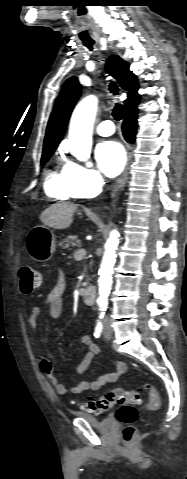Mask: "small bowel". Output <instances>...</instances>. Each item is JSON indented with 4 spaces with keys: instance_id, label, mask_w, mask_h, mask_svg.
<instances>
[{
    "instance_id": "obj_1",
    "label": "small bowel",
    "mask_w": 187,
    "mask_h": 479,
    "mask_svg": "<svg viewBox=\"0 0 187 479\" xmlns=\"http://www.w3.org/2000/svg\"><path fill=\"white\" fill-rule=\"evenodd\" d=\"M64 290L65 282L63 275L59 276L58 281L54 287L49 292L45 303L48 308L49 316L52 318H58L61 315L63 304H64ZM41 314V308L39 306H34L31 308L28 323L33 332L38 330L39 326V317ZM80 346L86 349V354L83 357L82 361L78 364L75 369L74 375L79 376L86 371L90 365L92 359L98 355L99 347L94 343L92 338L89 335H82L80 338ZM78 345L70 344L69 348L75 349ZM41 368L43 372L47 375L48 382L53 390L58 395H66L68 393L80 394L85 390H99L101 387L108 383H113L119 379V377L124 374L127 370V366L123 362H118L113 371L103 374L94 380H83L77 384L71 386H66L62 383L54 374H53V365L48 358H43L41 361Z\"/></svg>"
}]
</instances>
